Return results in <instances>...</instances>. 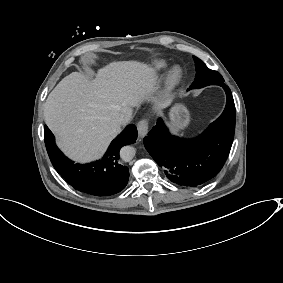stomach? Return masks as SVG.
I'll return each instance as SVG.
<instances>
[{
	"mask_svg": "<svg viewBox=\"0 0 283 283\" xmlns=\"http://www.w3.org/2000/svg\"><path fill=\"white\" fill-rule=\"evenodd\" d=\"M173 125L172 132L176 133L179 129L185 128L190 121V113L182 104H175L169 112Z\"/></svg>",
	"mask_w": 283,
	"mask_h": 283,
	"instance_id": "0dacf381",
	"label": "stomach"
}]
</instances>
